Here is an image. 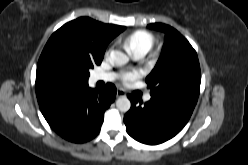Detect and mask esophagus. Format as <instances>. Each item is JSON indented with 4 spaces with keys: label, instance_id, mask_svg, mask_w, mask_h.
<instances>
[{
    "label": "esophagus",
    "instance_id": "esophagus-1",
    "mask_svg": "<svg viewBox=\"0 0 248 165\" xmlns=\"http://www.w3.org/2000/svg\"><path fill=\"white\" fill-rule=\"evenodd\" d=\"M125 95H126V93H125L124 90H122V89L117 90V94H116L117 97H122V96H125Z\"/></svg>",
    "mask_w": 248,
    "mask_h": 165
}]
</instances>
